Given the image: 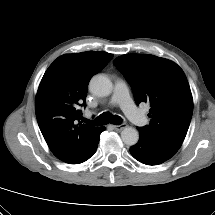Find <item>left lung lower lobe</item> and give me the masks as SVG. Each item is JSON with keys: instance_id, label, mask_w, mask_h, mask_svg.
Listing matches in <instances>:
<instances>
[{"instance_id": "left-lung-lower-lobe-1", "label": "left lung lower lobe", "mask_w": 215, "mask_h": 215, "mask_svg": "<svg viewBox=\"0 0 215 215\" xmlns=\"http://www.w3.org/2000/svg\"><path fill=\"white\" fill-rule=\"evenodd\" d=\"M139 141L130 147L132 156L146 165H158L170 159L178 149L155 137L148 130L137 127Z\"/></svg>"}]
</instances>
